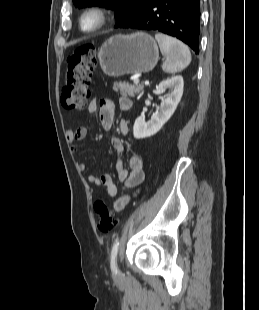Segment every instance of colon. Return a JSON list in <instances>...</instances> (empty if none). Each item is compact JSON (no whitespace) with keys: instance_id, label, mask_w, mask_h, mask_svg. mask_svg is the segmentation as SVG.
Here are the masks:
<instances>
[{"instance_id":"5ec220e1","label":"colon","mask_w":259,"mask_h":310,"mask_svg":"<svg viewBox=\"0 0 259 310\" xmlns=\"http://www.w3.org/2000/svg\"><path fill=\"white\" fill-rule=\"evenodd\" d=\"M97 65L96 49L92 44H83L71 51L66 58V82L61 101L68 109H84L89 102V85ZM97 225L102 233L112 231L117 219L103 200L95 202Z\"/></svg>"}]
</instances>
